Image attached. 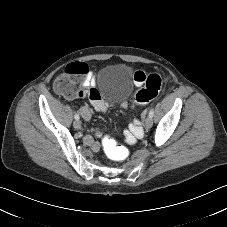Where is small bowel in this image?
Here are the masks:
<instances>
[{
  "label": "small bowel",
  "mask_w": 227,
  "mask_h": 227,
  "mask_svg": "<svg viewBox=\"0 0 227 227\" xmlns=\"http://www.w3.org/2000/svg\"><path fill=\"white\" fill-rule=\"evenodd\" d=\"M79 66L82 72L81 74L84 76L83 85L85 89L82 92V96H86V95H89L91 91H93V89L89 90L88 88L93 87L95 74L93 71L89 69L87 65L79 64ZM135 85L140 86V82H135ZM67 98L70 100L72 99V97H67ZM93 106H94V109L98 112H105L106 110V105L99 98L96 101H93ZM92 113H93V110L89 107L83 106L80 108V114L85 121H88L91 118ZM130 130L133 134V137L138 138L140 136L141 130L138 123L131 125ZM102 137H103V132L98 131L96 133V138L93 136H86L84 140H85V143L91 148L92 151H98L100 150V147H101L98 139Z\"/></svg>",
  "instance_id": "obj_1"
}]
</instances>
